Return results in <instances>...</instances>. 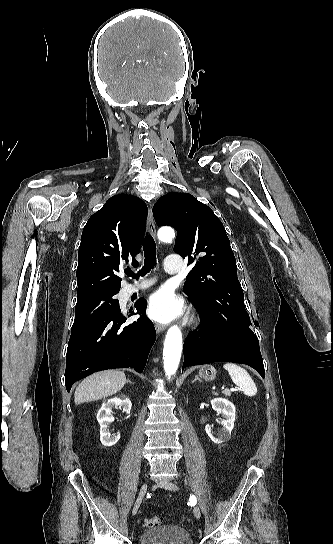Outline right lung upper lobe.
Returning <instances> with one entry per match:
<instances>
[{"mask_svg":"<svg viewBox=\"0 0 333 544\" xmlns=\"http://www.w3.org/2000/svg\"><path fill=\"white\" fill-rule=\"evenodd\" d=\"M148 209L138 197L119 194L87 221L81 236L77 267V300L105 292H119L122 261L132 260L141 248Z\"/></svg>","mask_w":333,"mask_h":544,"instance_id":"obj_1","label":"right lung upper lobe"}]
</instances>
